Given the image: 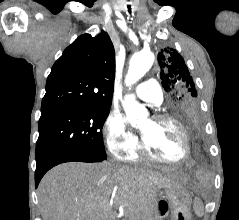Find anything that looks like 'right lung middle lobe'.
I'll use <instances>...</instances> for the list:
<instances>
[{"label":"right lung middle lobe","instance_id":"dd1d6c3e","mask_svg":"<svg viewBox=\"0 0 239 220\" xmlns=\"http://www.w3.org/2000/svg\"><path fill=\"white\" fill-rule=\"evenodd\" d=\"M109 111L110 108H81L41 113L36 160L61 151L106 158L102 128Z\"/></svg>","mask_w":239,"mask_h":220}]
</instances>
